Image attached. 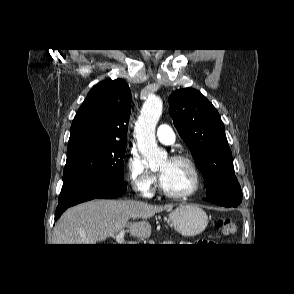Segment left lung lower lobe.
Instances as JSON below:
<instances>
[{
    "instance_id": "obj_1",
    "label": "left lung lower lobe",
    "mask_w": 294,
    "mask_h": 294,
    "mask_svg": "<svg viewBox=\"0 0 294 294\" xmlns=\"http://www.w3.org/2000/svg\"><path fill=\"white\" fill-rule=\"evenodd\" d=\"M204 200L224 207H237L242 201V196H215L206 197Z\"/></svg>"
}]
</instances>
